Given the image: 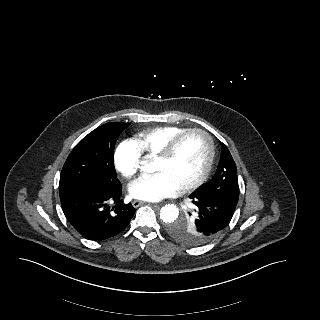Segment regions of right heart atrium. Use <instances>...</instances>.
Listing matches in <instances>:
<instances>
[{"label":"right heart atrium","mask_w":320,"mask_h":320,"mask_svg":"<svg viewBox=\"0 0 320 320\" xmlns=\"http://www.w3.org/2000/svg\"><path fill=\"white\" fill-rule=\"evenodd\" d=\"M115 167L125 178H133L141 163V153L132 140H123L116 148L114 155Z\"/></svg>","instance_id":"d8ad5b80"}]
</instances>
